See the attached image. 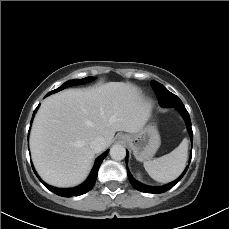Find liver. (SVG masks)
I'll use <instances>...</instances> for the list:
<instances>
[{
	"label": "liver",
	"mask_w": 229,
	"mask_h": 229,
	"mask_svg": "<svg viewBox=\"0 0 229 229\" xmlns=\"http://www.w3.org/2000/svg\"><path fill=\"white\" fill-rule=\"evenodd\" d=\"M150 111V104L130 83L109 82L49 96L42 102L30 134L35 169L53 186L80 184L95 156L91 141L101 136L106 148L117 131L137 133Z\"/></svg>",
	"instance_id": "liver-1"
}]
</instances>
